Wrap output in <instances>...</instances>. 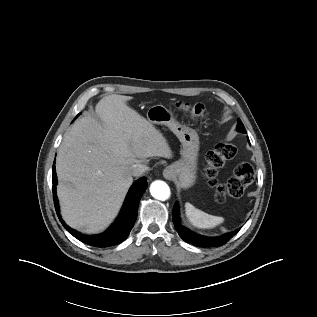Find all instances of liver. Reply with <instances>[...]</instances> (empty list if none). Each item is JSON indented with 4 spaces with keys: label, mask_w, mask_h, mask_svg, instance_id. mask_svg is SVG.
I'll list each match as a JSON object with an SVG mask.
<instances>
[{
    "label": "liver",
    "mask_w": 317,
    "mask_h": 317,
    "mask_svg": "<svg viewBox=\"0 0 317 317\" xmlns=\"http://www.w3.org/2000/svg\"><path fill=\"white\" fill-rule=\"evenodd\" d=\"M131 99L102 98L96 113L104 124L90 116L77 120L59 147L57 195L62 217L74 229L104 230L133 183L131 167L154 156L173 157L164 135L128 106Z\"/></svg>",
    "instance_id": "1"
}]
</instances>
